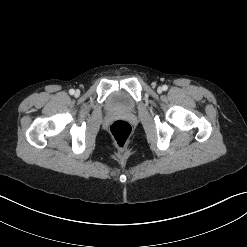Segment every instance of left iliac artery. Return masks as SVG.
I'll return each mask as SVG.
<instances>
[{
	"instance_id": "1",
	"label": "left iliac artery",
	"mask_w": 247,
	"mask_h": 247,
	"mask_svg": "<svg viewBox=\"0 0 247 247\" xmlns=\"http://www.w3.org/2000/svg\"><path fill=\"white\" fill-rule=\"evenodd\" d=\"M162 89H163L164 91H166V90L168 89V86H167V85H163V86H162Z\"/></svg>"
}]
</instances>
